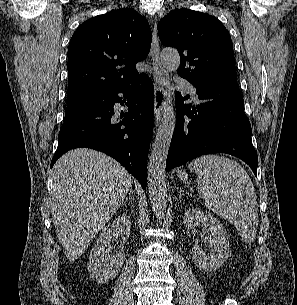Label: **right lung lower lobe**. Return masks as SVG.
Returning a JSON list of instances; mask_svg holds the SVG:
<instances>
[{
  "mask_svg": "<svg viewBox=\"0 0 297 305\" xmlns=\"http://www.w3.org/2000/svg\"><path fill=\"white\" fill-rule=\"evenodd\" d=\"M123 93V99L118 96ZM126 102L128 111L119 113L115 103ZM154 90L148 75L109 92L105 100L64 121L51 167L67 151L87 147L104 152L120 162L147 185L146 167L153 132Z\"/></svg>",
  "mask_w": 297,
  "mask_h": 305,
  "instance_id": "1",
  "label": "right lung lower lobe"
}]
</instances>
